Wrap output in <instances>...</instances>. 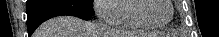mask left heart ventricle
<instances>
[{"label":"left heart ventricle","instance_id":"left-heart-ventricle-1","mask_svg":"<svg viewBox=\"0 0 219 37\" xmlns=\"http://www.w3.org/2000/svg\"><path fill=\"white\" fill-rule=\"evenodd\" d=\"M143 16L149 21L161 23L170 16V7L166 0H147L142 9Z\"/></svg>","mask_w":219,"mask_h":37}]
</instances>
